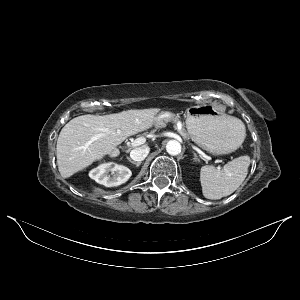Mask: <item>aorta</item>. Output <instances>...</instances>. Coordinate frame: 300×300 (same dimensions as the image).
Instances as JSON below:
<instances>
[{
  "label": "aorta",
  "mask_w": 300,
  "mask_h": 300,
  "mask_svg": "<svg viewBox=\"0 0 300 300\" xmlns=\"http://www.w3.org/2000/svg\"><path fill=\"white\" fill-rule=\"evenodd\" d=\"M166 151L172 156L181 153V144L177 140H170L166 144Z\"/></svg>",
  "instance_id": "762f6f07"
}]
</instances>
